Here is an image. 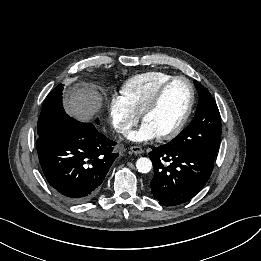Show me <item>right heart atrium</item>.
<instances>
[{
    "label": "right heart atrium",
    "instance_id": "obj_1",
    "mask_svg": "<svg viewBox=\"0 0 261 261\" xmlns=\"http://www.w3.org/2000/svg\"><path fill=\"white\" fill-rule=\"evenodd\" d=\"M109 116L112 128L122 135H127L140 118L122 94L112 96Z\"/></svg>",
    "mask_w": 261,
    "mask_h": 261
}]
</instances>
